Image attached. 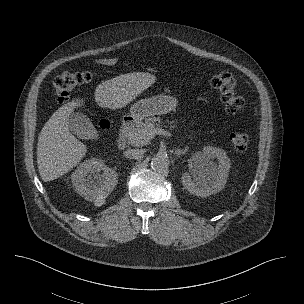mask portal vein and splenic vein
Wrapping results in <instances>:
<instances>
[{
    "instance_id": "18ae733b",
    "label": "portal vein and splenic vein",
    "mask_w": 304,
    "mask_h": 304,
    "mask_svg": "<svg viewBox=\"0 0 304 304\" xmlns=\"http://www.w3.org/2000/svg\"><path fill=\"white\" fill-rule=\"evenodd\" d=\"M169 133L163 129H159V128H155L153 130H151L149 133H148V136L150 138H153L155 135H163V136H166L168 135Z\"/></svg>"
}]
</instances>
